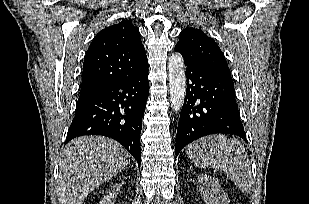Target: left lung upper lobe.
Masks as SVG:
<instances>
[{"instance_id": "5c2ea615", "label": "left lung upper lobe", "mask_w": 309, "mask_h": 204, "mask_svg": "<svg viewBox=\"0 0 309 204\" xmlns=\"http://www.w3.org/2000/svg\"><path fill=\"white\" fill-rule=\"evenodd\" d=\"M175 50L192 62L204 64L216 71L230 75L225 57L216 42L201 30L187 27L180 33Z\"/></svg>"}]
</instances>
